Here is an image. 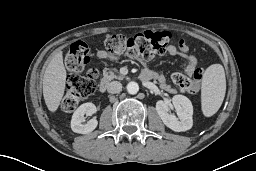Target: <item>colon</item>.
<instances>
[{"label": "colon", "mask_w": 256, "mask_h": 171, "mask_svg": "<svg viewBox=\"0 0 256 171\" xmlns=\"http://www.w3.org/2000/svg\"><path fill=\"white\" fill-rule=\"evenodd\" d=\"M170 40L171 34L168 31L147 30L131 36L110 35L105 40V46L107 52L113 56L126 53L133 58L150 60L163 55ZM89 60L90 49L87 43L84 41L73 42L65 58L70 75L61 103L64 111L75 110L95 90L97 73L94 70L86 69ZM202 76V69L197 68L192 75L174 73L172 80L180 90L196 93L200 88Z\"/></svg>", "instance_id": "colon-1"}]
</instances>
